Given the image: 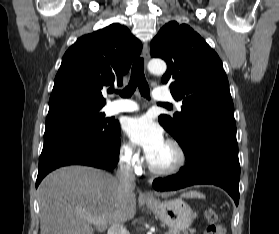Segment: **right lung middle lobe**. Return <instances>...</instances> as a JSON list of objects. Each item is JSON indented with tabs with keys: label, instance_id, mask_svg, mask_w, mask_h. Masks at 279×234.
Returning <instances> with one entry per match:
<instances>
[{
	"label": "right lung middle lobe",
	"instance_id": "obj_1",
	"mask_svg": "<svg viewBox=\"0 0 279 234\" xmlns=\"http://www.w3.org/2000/svg\"><path fill=\"white\" fill-rule=\"evenodd\" d=\"M104 117L101 109L83 106H64L49 110L44 139L66 133H82L105 143L119 127L117 123L109 125Z\"/></svg>",
	"mask_w": 279,
	"mask_h": 234
}]
</instances>
